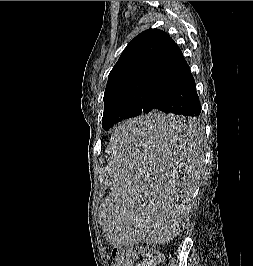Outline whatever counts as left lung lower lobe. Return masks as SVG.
<instances>
[{
	"label": "left lung lower lobe",
	"mask_w": 253,
	"mask_h": 266,
	"mask_svg": "<svg viewBox=\"0 0 253 266\" xmlns=\"http://www.w3.org/2000/svg\"><path fill=\"white\" fill-rule=\"evenodd\" d=\"M154 109L164 113L188 116L185 119L160 121L144 119V131L172 140L197 132L192 118L201 113L195 81L181 50L172 41L160 60L145 94L142 114Z\"/></svg>",
	"instance_id": "1"
}]
</instances>
